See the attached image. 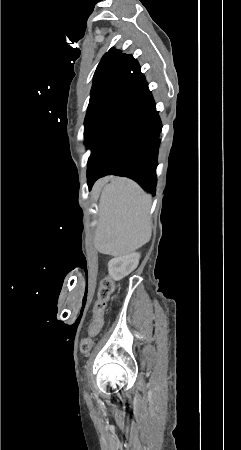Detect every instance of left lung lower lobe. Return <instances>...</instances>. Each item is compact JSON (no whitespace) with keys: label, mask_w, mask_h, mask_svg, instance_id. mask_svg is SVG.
Masks as SVG:
<instances>
[{"label":"left lung lower lobe","mask_w":241,"mask_h":450,"mask_svg":"<svg viewBox=\"0 0 241 450\" xmlns=\"http://www.w3.org/2000/svg\"><path fill=\"white\" fill-rule=\"evenodd\" d=\"M162 124L140 66L133 57L116 98L94 120L86 145L89 188L106 175L135 180L155 195L159 134Z\"/></svg>","instance_id":"1"}]
</instances>
